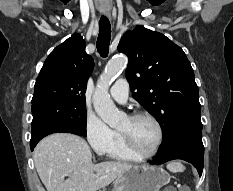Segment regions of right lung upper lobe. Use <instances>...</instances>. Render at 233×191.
<instances>
[{"instance_id": "right-lung-upper-lobe-1", "label": "right lung upper lobe", "mask_w": 233, "mask_h": 191, "mask_svg": "<svg viewBox=\"0 0 233 191\" xmlns=\"http://www.w3.org/2000/svg\"><path fill=\"white\" fill-rule=\"evenodd\" d=\"M93 67L83 38L73 34L47 57L36 79L32 101L55 97L85 103L86 84Z\"/></svg>"}]
</instances>
